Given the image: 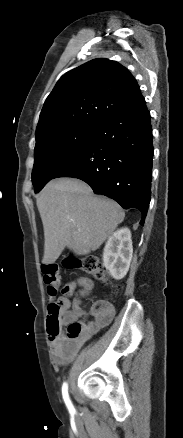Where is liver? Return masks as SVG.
<instances>
[{"instance_id": "obj_1", "label": "liver", "mask_w": 183, "mask_h": 438, "mask_svg": "<svg viewBox=\"0 0 183 438\" xmlns=\"http://www.w3.org/2000/svg\"><path fill=\"white\" fill-rule=\"evenodd\" d=\"M37 207L44 228V264L55 262L65 247L77 255L97 250L125 217L119 204L94 196L76 178L50 181L37 197Z\"/></svg>"}]
</instances>
